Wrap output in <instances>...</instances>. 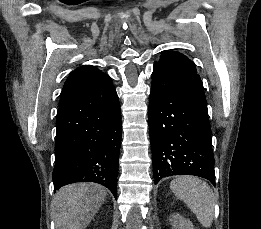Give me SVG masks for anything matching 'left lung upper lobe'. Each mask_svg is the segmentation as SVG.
<instances>
[{"mask_svg":"<svg viewBox=\"0 0 261 229\" xmlns=\"http://www.w3.org/2000/svg\"><path fill=\"white\" fill-rule=\"evenodd\" d=\"M155 64L182 71L196 72L195 64L190 59L181 53L173 51H165Z\"/></svg>","mask_w":261,"mask_h":229,"instance_id":"obj_1","label":"left lung upper lobe"}]
</instances>
